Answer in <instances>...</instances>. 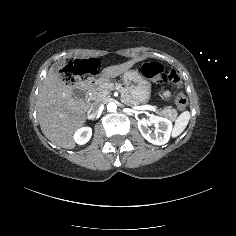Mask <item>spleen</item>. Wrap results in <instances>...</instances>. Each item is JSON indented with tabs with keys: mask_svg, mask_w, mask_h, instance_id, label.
<instances>
[{
	"mask_svg": "<svg viewBox=\"0 0 236 236\" xmlns=\"http://www.w3.org/2000/svg\"><path fill=\"white\" fill-rule=\"evenodd\" d=\"M190 116L191 115L189 111H183L179 114L171 130L172 138H177L179 135L182 134V132L185 130L189 123Z\"/></svg>",
	"mask_w": 236,
	"mask_h": 236,
	"instance_id": "obj_1",
	"label": "spleen"
}]
</instances>
